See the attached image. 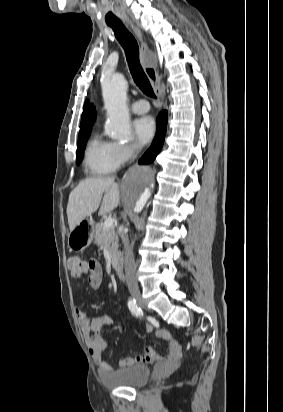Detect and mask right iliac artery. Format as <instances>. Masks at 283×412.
<instances>
[{"instance_id": "82829eb1", "label": "right iliac artery", "mask_w": 283, "mask_h": 412, "mask_svg": "<svg viewBox=\"0 0 283 412\" xmlns=\"http://www.w3.org/2000/svg\"><path fill=\"white\" fill-rule=\"evenodd\" d=\"M128 308L131 311V313L136 317L143 315V312H142L141 308L137 305L135 299H132V298L129 299Z\"/></svg>"}]
</instances>
